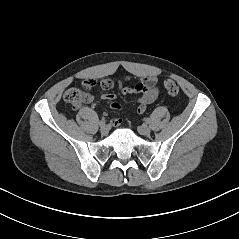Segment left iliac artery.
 Returning <instances> with one entry per match:
<instances>
[{"instance_id": "44dca946", "label": "left iliac artery", "mask_w": 239, "mask_h": 239, "mask_svg": "<svg viewBox=\"0 0 239 239\" xmlns=\"http://www.w3.org/2000/svg\"><path fill=\"white\" fill-rule=\"evenodd\" d=\"M145 121H146V123H149V122H150V119L147 118V119H145Z\"/></svg>"}]
</instances>
